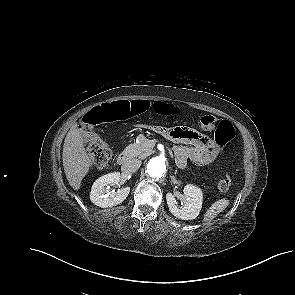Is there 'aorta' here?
I'll return each instance as SVG.
<instances>
[{
	"label": "aorta",
	"mask_w": 295,
	"mask_h": 295,
	"mask_svg": "<svg viewBox=\"0 0 295 295\" xmlns=\"http://www.w3.org/2000/svg\"><path fill=\"white\" fill-rule=\"evenodd\" d=\"M167 163L162 157H153L147 163V174L152 178H161L167 172Z\"/></svg>",
	"instance_id": "1"
}]
</instances>
